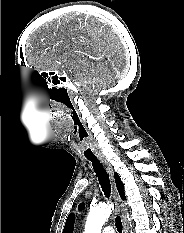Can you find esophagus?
Segmentation results:
<instances>
[{
	"label": "esophagus",
	"instance_id": "1",
	"mask_svg": "<svg viewBox=\"0 0 184 233\" xmlns=\"http://www.w3.org/2000/svg\"><path fill=\"white\" fill-rule=\"evenodd\" d=\"M99 159L102 162V164L105 166L110 178L113 181V168H112V166L105 158L100 157ZM112 189H113V196L115 199L116 208L121 213L122 224H123V233H128V225H127L126 214H125V203L121 200V198L116 190V187L114 185V182L112 183Z\"/></svg>",
	"mask_w": 184,
	"mask_h": 233
}]
</instances>
